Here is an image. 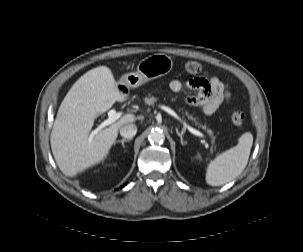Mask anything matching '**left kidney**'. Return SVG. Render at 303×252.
<instances>
[{"instance_id": "obj_1", "label": "left kidney", "mask_w": 303, "mask_h": 252, "mask_svg": "<svg viewBox=\"0 0 303 252\" xmlns=\"http://www.w3.org/2000/svg\"><path fill=\"white\" fill-rule=\"evenodd\" d=\"M196 159H201V156L198 154V155L196 156Z\"/></svg>"}]
</instances>
